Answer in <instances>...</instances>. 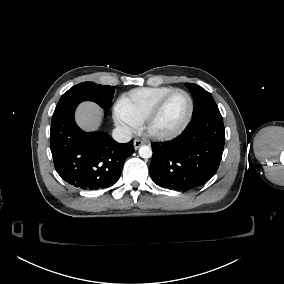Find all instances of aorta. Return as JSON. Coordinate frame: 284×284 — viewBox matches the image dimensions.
<instances>
[{
	"mask_svg": "<svg viewBox=\"0 0 284 284\" xmlns=\"http://www.w3.org/2000/svg\"><path fill=\"white\" fill-rule=\"evenodd\" d=\"M139 155L144 159L150 158L152 156V150L149 146H141L139 148Z\"/></svg>",
	"mask_w": 284,
	"mask_h": 284,
	"instance_id": "1",
	"label": "aorta"
}]
</instances>
